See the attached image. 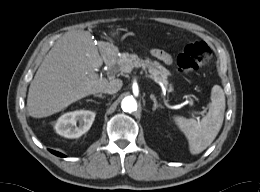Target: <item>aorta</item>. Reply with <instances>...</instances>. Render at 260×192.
<instances>
[{
  "label": "aorta",
  "instance_id": "obj_1",
  "mask_svg": "<svg viewBox=\"0 0 260 192\" xmlns=\"http://www.w3.org/2000/svg\"><path fill=\"white\" fill-rule=\"evenodd\" d=\"M121 108L124 112L132 113L137 110V102L133 96L125 97L121 102Z\"/></svg>",
  "mask_w": 260,
  "mask_h": 192
}]
</instances>
